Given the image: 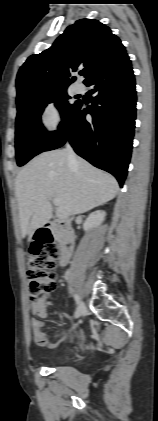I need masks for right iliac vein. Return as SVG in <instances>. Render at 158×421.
I'll use <instances>...</instances> for the list:
<instances>
[{
	"label": "right iliac vein",
	"instance_id": "1",
	"mask_svg": "<svg viewBox=\"0 0 158 421\" xmlns=\"http://www.w3.org/2000/svg\"><path fill=\"white\" fill-rule=\"evenodd\" d=\"M84 310H85V305L83 301H80L75 312V317L79 318L83 314Z\"/></svg>",
	"mask_w": 158,
	"mask_h": 421
}]
</instances>
